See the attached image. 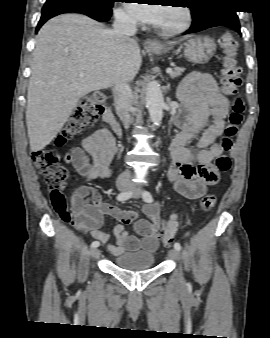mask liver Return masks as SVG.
Instances as JSON below:
<instances>
[{
  "mask_svg": "<svg viewBox=\"0 0 270 338\" xmlns=\"http://www.w3.org/2000/svg\"><path fill=\"white\" fill-rule=\"evenodd\" d=\"M141 62L135 39H117L87 16L63 14L45 23L36 37L27 93L31 151L50 144L80 98L132 81Z\"/></svg>",
  "mask_w": 270,
  "mask_h": 338,
  "instance_id": "obj_1",
  "label": "liver"
}]
</instances>
